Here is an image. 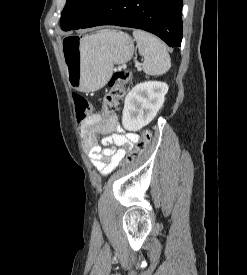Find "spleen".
<instances>
[{
	"label": "spleen",
	"instance_id": "1",
	"mask_svg": "<svg viewBox=\"0 0 247 275\" xmlns=\"http://www.w3.org/2000/svg\"><path fill=\"white\" fill-rule=\"evenodd\" d=\"M139 54L144 57L143 71L148 75H162L171 67L165 44L154 35L139 29L133 31Z\"/></svg>",
	"mask_w": 247,
	"mask_h": 275
}]
</instances>
